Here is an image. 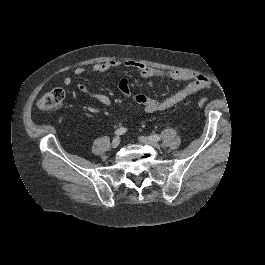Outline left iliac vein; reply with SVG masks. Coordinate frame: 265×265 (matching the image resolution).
Returning <instances> with one entry per match:
<instances>
[{"mask_svg": "<svg viewBox=\"0 0 265 265\" xmlns=\"http://www.w3.org/2000/svg\"><path fill=\"white\" fill-rule=\"evenodd\" d=\"M139 141L142 142V143H147V144L153 145L154 147L158 146L157 142L152 140L150 137L140 136L139 137Z\"/></svg>", "mask_w": 265, "mask_h": 265, "instance_id": "obj_1", "label": "left iliac vein"}]
</instances>
